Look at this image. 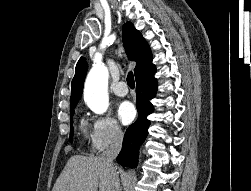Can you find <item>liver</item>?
<instances>
[{
  "label": "liver",
  "instance_id": "6515ba94",
  "mask_svg": "<svg viewBox=\"0 0 251 191\" xmlns=\"http://www.w3.org/2000/svg\"><path fill=\"white\" fill-rule=\"evenodd\" d=\"M114 165L101 157L72 155L56 179L53 191H118L113 181Z\"/></svg>",
  "mask_w": 251,
  "mask_h": 191
}]
</instances>
